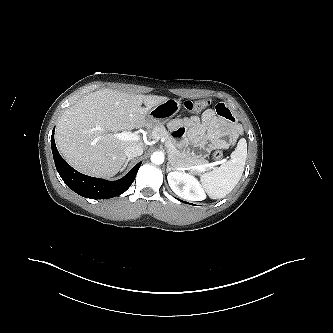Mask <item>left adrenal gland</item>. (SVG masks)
<instances>
[{
    "label": "left adrenal gland",
    "instance_id": "1",
    "mask_svg": "<svg viewBox=\"0 0 333 333\" xmlns=\"http://www.w3.org/2000/svg\"><path fill=\"white\" fill-rule=\"evenodd\" d=\"M174 168L172 166H170L169 162L167 163V169L166 171L169 172L171 170H173Z\"/></svg>",
    "mask_w": 333,
    "mask_h": 333
}]
</instances>
